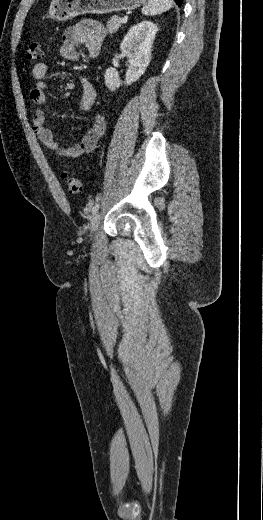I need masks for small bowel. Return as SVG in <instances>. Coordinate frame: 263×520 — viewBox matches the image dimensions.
Listing matches in <instances>:
<instances>
[{
    "instance_id": "small-bowel-1",
    "label": "small bowel",
    "mask_w": 263,
    "mask_h": 520,
    "mask_svg": "<svg viewBox=\"0 0 263 520\" xmlns=\"http://www.w3.org/2000/svg\"><path fill=\"white\" fill-rule=\"evenodd\" d=\"M104 37L105 30L99 22L81 21L65 30L58 48V55L66 60L75 61L78 58V49L85 47L91 57H96L100 52ZM47 72L48 66L43 62L37 63L32 69L36 83L29 93V98L33 104L38 106L46 102ZM80 82L83 88L80 108L87 111L94 104L96 90L85 77H80ZM32 125L38 141L46 150L68 159H78L92 152L106 128L105 119L101 115H96L87 133L79 142L71 146H63L57 143L53 131L45 126V113L42 109L34 110Z\"/></svg>"
}]
</instances>
